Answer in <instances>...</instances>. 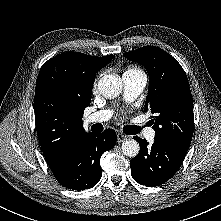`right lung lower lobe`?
<instances>
[{"instance_id": "98d812e1", "label": "right lung lower lobe", "mask_w": 221, "mask_h": 221, "mask_svg": "<svg viewBox=\"0 0 221 221\" xmlns=\"http://www.w3.org/2000/svg\"><path fill=\"white\" fill-rule=\"evenodd\" d=\"M116 139L112 129L101 134L85 132L62 163L51 168L57 181L63 187L78 191L95 186L102 176L100 157L115 146Z\"/></svg>"}]
</instances>
